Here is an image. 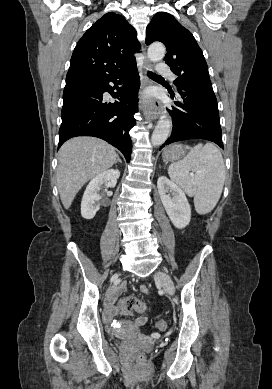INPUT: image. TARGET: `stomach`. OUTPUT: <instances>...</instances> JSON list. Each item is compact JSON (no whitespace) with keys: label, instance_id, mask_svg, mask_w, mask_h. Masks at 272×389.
Wrapping results in <instances>:
<instances>
[{"label":"stomach","instance_id":"1","mask_svg":"<svg viewBox=\"0 0 272 389\" xmlns=\"http://www.w3.org/2000/svg\"><path fill=\"white\" fill-rule=\"evenodd\" d=\"M187 147L180 144H174L167 147L163 152V158L168 161H176L186 154Z\"/></svg>","mask_w":272,"mask_h":389}]
</instances>
